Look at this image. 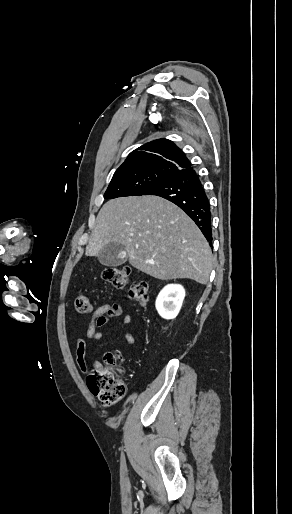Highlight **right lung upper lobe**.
Segmentation results:
<instances>
[{"label": "right lung upper lobe", "mask_w": 292, "mask_h": 514, "mask_svg": "<svg viewBox=\"0 0 292 514\" xmlns=\"http://www.w3.org/2000/svg\"><path fill=\"white\" fill-rule=\"evenodd\" d=\"M190 167L191 163L180 148L168 139H158L132 151L114 175L142 172H165L172 175Z\"/></svg>", "instance_id": "obj_1"}]
</instances>
